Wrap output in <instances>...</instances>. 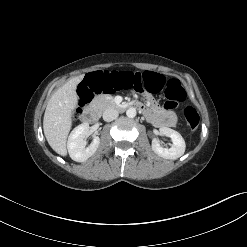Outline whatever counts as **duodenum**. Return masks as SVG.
I'll return each instance as SVG.
<instances>
[{"mask_svg":"<svg viewBox=\"0 0 247 247\" xmlns=\"http://www.w3.org/2000/svg\"><path fill=\"white\" fill-rule=\"evenodd\" d=\"M117 108L119 110H124L126 108H135V109H138L140 111H144L145 105L141 102L133 101V102H130L128 104L118 105ZM82 118L87 123L96 122L99 119V111L95 106H89L84 111Z\"/></svg>","mask_w":247,"mask_h":247,"instance_id":"obj_1","label":"duodenum"}]
</instances>
